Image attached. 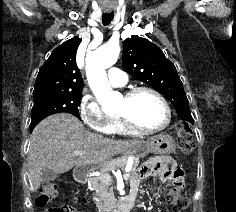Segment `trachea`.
Instances as JSON below:
<instances>
[{
  "instance_id": "3493384b",
  "label": "trachea",
  "mask_w": 236,
  "mask_h": 212,
  "mask_svg": "<svg viewBox=\"0 0 236 212\" xmlns=\"http://www.w3.org/2000/svg\"><path fill=\"white\" fill-rule=\"evenodd\" d=\"M114 18V12H111V13H104L102 15V23L104 26H107L111 23V21L113 20Z\"/></svg>"
}]
</instances>
